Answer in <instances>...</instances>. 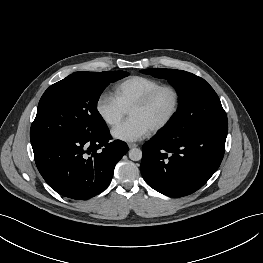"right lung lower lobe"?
<instances>
[{"mask_svg": "<svg viewBox=\"0 0 263 263\" xmlns=\"http://www.w3.org/2000/svg\"><path fill=\"white\" fill-rule=\"evenodd\" d=\"M108 127L85 135H69L33 149L37 168L57 193L85 200L110 184L115 165L127 153L120 140L111 141Z\"/></svg>", "mask_w": 263, "mask_h": 263, "instance_id": "right-lung-lower-lobe-1", "label": "right lung lower lobe"}]
</instances>
